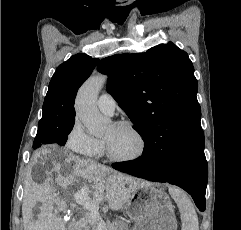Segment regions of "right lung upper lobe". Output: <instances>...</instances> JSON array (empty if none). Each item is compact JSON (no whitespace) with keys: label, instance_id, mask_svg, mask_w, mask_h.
Segmentation results:
<instances>
[{"label":"right lung upper lobe","instance_id":"obj_1","mask_svg":"<svg viewBox=\"0 0 241 230\" xmlns=\"http://www.w3.org/2000/svg\"><path fill=\"white\" fill-rule=\"evenodd\" d=\"M99 59L78 53L59 65L53 74L43 104V115L56 120L75 119L77 90L90 76Z\"/></svg>","mask_w":241,"mask_h":230}]
</instances>
